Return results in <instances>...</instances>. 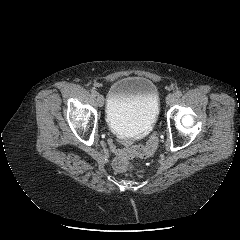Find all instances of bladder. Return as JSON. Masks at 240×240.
Returning a JSON list of instances; mask_svg holds the SVG:
<instances>
[{
  "label": "bladder",
  "mask_w": 240,
  "mask_h": 240,
  "mask_svg": "<svg viewBox=\"0 0 240 240\" xmlns=\"http://www.w3.org/2000/svg\"><path fill=\"white\" fill-rule=\"evenodd\" d=\"M160 111L157 86L142 76L122 77L109 88L106 121L116 134L139 137L155 125Z\"/></svg>",
  "instance_id": "obj_1"
}]
</instances>
